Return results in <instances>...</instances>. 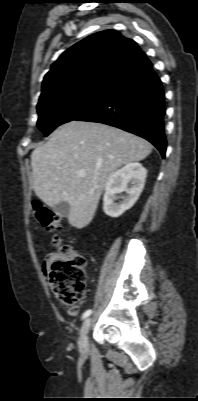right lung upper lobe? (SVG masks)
Masks as SVG:
<instances>
[{"label":"right lung upper lobe","mask_w":198,"mask_h":401,"mask_svg":"<svg viewBox=\"0 0 198 401\" xmlns=\"http://www.w3.org/2000/svg\"><path fill=\"white\" fill-rule=\"evenodd\" d=\"M147 59L137 44L115 30L88 36L63 52L42 83L44 98L84 85H107Z\"/></svg>","instance_id":"obj_1"}]
</instances>
